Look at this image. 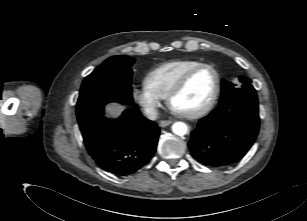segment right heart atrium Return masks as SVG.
Listing matches in <instances>:
<instances>
[{"label":"right heart atrium","mask_w":307,"mask_h":221,"mask_svg":"<svg viewBox=\"0 0 307 221\" xmlns=\"http://www.w3.org/2000/svg\"><path fill=\"white\" fill-rule=\"evenodd\" d=\"M132 98L149 118L157 116L161 99L152 94L145 86L135 87L132 90Z\"/></svg>","instance_id":"1"}]
</instances>
